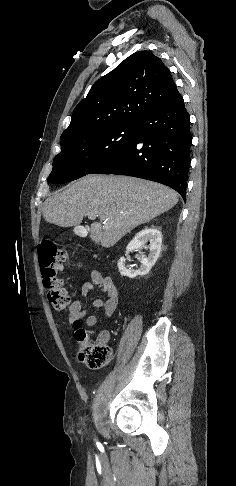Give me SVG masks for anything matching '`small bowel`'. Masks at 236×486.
Returning <instances> with one entry per match:
<instances>
[{"label":"small bowel","instance_id":"small-bowel-1","mask_svg":"<svg viewBox=\"0 0 236 486\" xmlns=\"http://www.w3.org/2000/svg\"><path fill=\"white\" fill-rule=\"evenodd\" d=\"M90 282L82 285L81 293L83 297H88L93 291L99 290L105 296L97 298L93 301V307L103 309V316L110 317L118 306V289L113 280L109 276L102 275L98 270H92L90 274ZM86 317V324L88 327H94L100 320V316L96 314L88 315L87 310L83 307L82 300H75L69 306L68 323L72 329L80 319ZM109 339V332L101 331L97 340L100 342H107Z\"/></svg>","mask_w":236,"mask_h":486}]
</instances>
